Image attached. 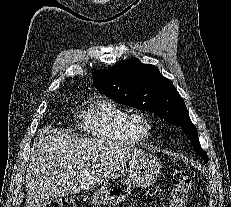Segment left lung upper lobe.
<instances>
[{"instance_id":"obj_1","label":"left lung upper lobe","mask_w":231,"mask_h":207,"mask_svg":"<svg viewBox=\"0 0 231 207\" xmlns=\"http://www.w3.org/2000/svg\"><path fill=\"white\" fill-rule=\"evenodd\" d=\"M93 84L118 103L150 111L181 127L188 134L195 152L203 157L204 163L208 162L184 100L172 81L162 76L156 66L142 64L138 59L124 60L112 68L96 71Z\"/></svg>"}]
</instances>
